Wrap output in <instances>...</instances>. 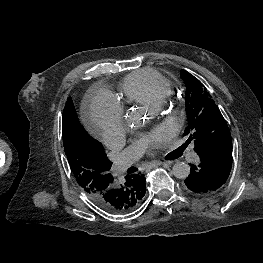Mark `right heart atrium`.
I'll use <instances>...</instances> for the list:
<instances>
[{
  "mask_svg": "<svg viewBox=\"0 0 263 263\" xmlns=\"http://www.w3.org/2000/svg\"><path fill=\"white\" fill-rule=\"evenodd\" d=\"M89 117L104 142H108L122 131L123 108L106 92L94 95L89 108Z\"/></svg>",
  "mask_w": 263,
  "mask_h": 263,
  "instance_id": "1",
  "label": "right heart atrium"
}]
</instances>
